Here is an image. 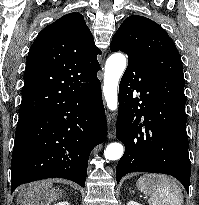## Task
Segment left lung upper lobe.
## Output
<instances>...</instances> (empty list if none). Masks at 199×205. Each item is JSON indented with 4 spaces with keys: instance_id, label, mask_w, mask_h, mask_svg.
I'll list each match as a JSON object with an SVG mask.
<instances>
[{
    "instance_id": "5c2ea615",
    "label": "left lung upper lobe",
    "mask_w": 199,
    "mask_h": 205,
    "mask_svg": "<svg viewBox=\"0 0 199 205\" xmlns=\"http://www.w3.org/2000/svg\"><path fill=\"white\" fill-rule=\"evenodd\" d=\"M110 50L134 57L167 91L185 97L179 52L156 22L139 15L129 16L113 36Z\"/></svg>"
}]
</instances>
